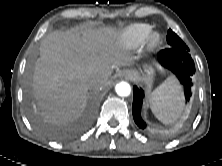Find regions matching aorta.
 <instances>
[{"label":"aorta","instance_id":"aorta-1","mask_svg":"<svg viewBox=\"0 0 222 166\" xmlns=\"http://www.w3.org/2000/svg\"><path fill=\"white\" fill-rule=\"evenodd\" d=\"M116 93L121 97L129 96L131 93V87L127 82H120L115 87Z\"/></svg>","mask_w":222,"mask_h":166}]
</instances>
